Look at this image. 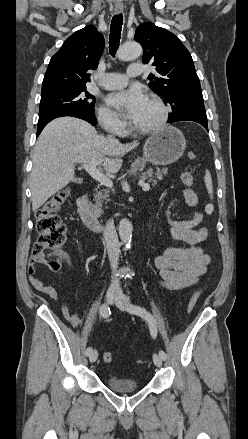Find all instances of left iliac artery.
<instances>
[{
  "label": "left iliac artery",
  "mask_w": 248,
  "mask_h": 439,
  "mask_svg": "<svg viewBox=\"0 0 248 439\" xmlns=\"http://www.w3.org/2000/svg\"><path fill=\"white\" fill-rule=\"evenodd\" d=\"M129 311L131 313H133V314L139 315L142 318L146 319L148 324H149V329H150L151 336L153 338H156V336H157V326H156V322H155L154 317L148 311H146V309H144V308H142V307H140L138 305H130L129 306ZM159 355L161 356V358L163 360H166L167 354L164 351L160 350L159 351Z\"/></svg>",
  "instance_id": "44dca946"
}]
</instances>
